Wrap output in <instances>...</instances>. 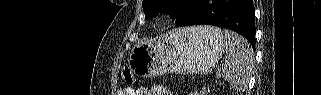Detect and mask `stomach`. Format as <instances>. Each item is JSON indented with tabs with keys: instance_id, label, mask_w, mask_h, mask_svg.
<instances>
[{
	"instance_id": "1",
	"label": "stomach",
	"mask_w": 321,
	"mask_h": 95,
	"mask_svg": "<svg viewBox=\"0 0 321 95\" xmlns=\"http://www.w3.org/2000/svg\"><path fill=\"white\" fill-rule=\"evenodd\" d=\"M224 51L221 40L191 28L136 44L129 66L142 77L173 73H209Z\"/></svg>"
}]
</instances>
